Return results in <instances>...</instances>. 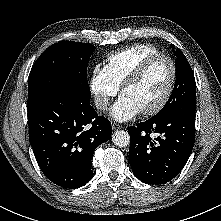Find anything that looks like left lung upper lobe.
<instances>
[{"instance_id": "5c2ea615", "label": "left lung upper lobe", "mask_w": 221, "mask_h": 221, "mask_svg": "<svg viewBox=\"0 0 221 221\" xmlns=\"http://www.w3.org/2000/svg\"><path fill=\"white\" fill-rule=\"evenodd\" d=\"M176 81L172 94L154 118H163L171 113L187 108L195 110L196 82L193 71L186 57L180 49L175 50Z\"/></svg>"}]
</instances>
